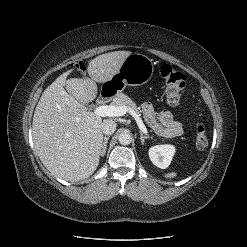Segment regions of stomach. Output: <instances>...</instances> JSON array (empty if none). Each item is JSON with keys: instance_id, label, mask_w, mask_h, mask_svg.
Returning a JSON list of instances; mask_svg holds the SVG:
<instances>
[{"instance_id": "0dacf381", "label": "stomach", "mask_w": 247, "mask_h": 247, "mask_svg": "<svg viewBox=\"0 0 247 247\" xmlns=\"http://www.w3.org/2000/svg\"><path fill=\"white\" fill-rule=\"evenodd\" d=\"M154 64L149 57L134 53L123 61L119 71L102 84L111 94H118L127 85L139 86L147 83L153 76Z\"/></svg>"}]
</instances>
